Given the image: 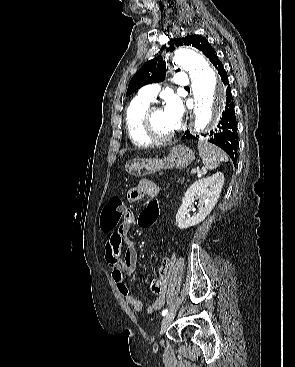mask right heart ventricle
<instances>
[{"mask_svg": "<svg viewBox=\"0 0 295 367\" xmlns=\"http://www.w3.org/2000/svg\"><path fill=\"white\" fill-rule=\"evenodd\" d=\"M150 104L151 101L137 96L130 101L125 112V127L128 136L134 145L141 148H146L153 144V142L144 135L142 130V117Z\"/></svg>", "mask_w": 295, "mask_h": 367, "instance_id": "e07e8e85", "label": "right heart ventricle"}]
</instances>
